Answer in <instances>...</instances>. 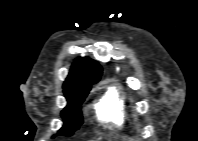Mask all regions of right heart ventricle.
<instances>
[{
  "mask_svg": "<svg viewBox=\"0 0 198 141\" xmlns=\"http://www.w3.org/2000/svg\"><path fill=\"white\" fill-rule=\"evenodd\" d=\"M94 109L98 119L105 124L123 128L132 122L125 97L116 86L109 87L100 95Z\"/></svg>",
  "mask_w": 198,
  "mask_h": 141,
  "instance_id": "right-heart-ventricle-1",
  "label": "right heart ventricle"
}]
</instances>
